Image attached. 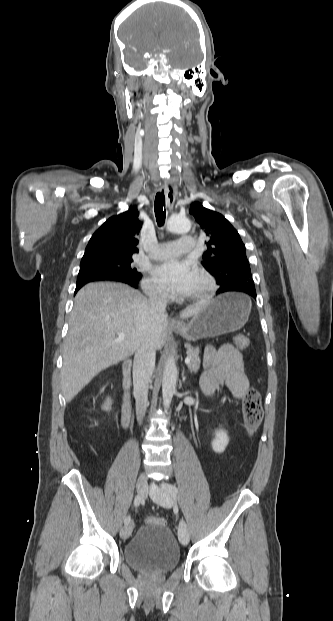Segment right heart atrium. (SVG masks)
<instances>
[{
  "label": "right heart atrium",
  "instance_id": "obj_1",
  "mask_svg": "<svg viewBox=\"0 0 333 621\" xmlns=\"http://www.w3.org/2000/svg\"><path fill=\"white\" fill-rule=\"evenodd\" d=\"M143 289L146 294H148L149 296L155 299L165 300L169 296L168 291L161 284H159L155 279L151 277H147L144 279Z\"/></svg>",
  "mask_w": 333,
  "mask_h": 621
}]
</instances>
